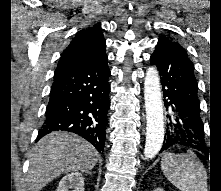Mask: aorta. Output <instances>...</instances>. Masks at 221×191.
<instances>
[{
    "mask_svg": "<svg viewBox=\"0 0 221 191\" xmlns=\"http://www.w3.org/2000/svg\"><path fill=\"white\" fill-rule=\"evenodd\" d=\"M144 99L146 110V142L144 155L154 158L160 151L164 140V115L159 73L156 67H149L144 80Z\"/></svg>",
    "mask_w": 221,
    "mask_h": 191,
    "instance_id": "762f6f07",
    "label": "aorta"
}]
</instances>
